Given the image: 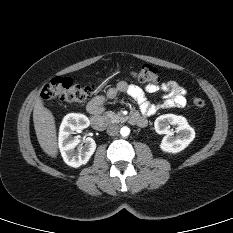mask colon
Returning a JSON list of instances; mask_svg holds the SVG:
<instances>
[{"label": "colon", "mask_w": 233, "mask_h": 233, "mask_svg": "<svg viewBox=\"0 0 233 233\" xmlns=\"http://www.w3.org/2000/svg\"><path fill=\"white\" fill-rule=\"evenodd\" d=\"M131 76L141 83L156 84L159 81L158 70L151 65L137 67L131 72ZM93 91V86L76 83L69 78L55 77L43 87L41 98L44 102H83L91 97ZM193 103L198 108L205 106V101L201 98H195Z\"/></svg>", "instance_id": "obj_1"}]
</instances>
